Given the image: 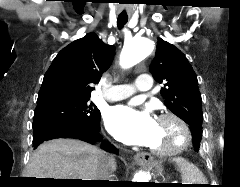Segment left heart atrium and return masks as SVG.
<instances>
[{"label": "left heart atrium", "instance_id": "39dd6f15", "mask_svg": "<svg viewBox=\"0 0 240 187\" xmlns=\"http://www.w3.org/2000/svg\"><path fill=\"white\" fill-rule=\"evenodd\" d=\"M105 124L117 140L129 145L150 146L157 133V121L147 111L127 105L110 108Z\"/></svg>", "mask_w": 240, "mask_h": 187}]
</instances>
